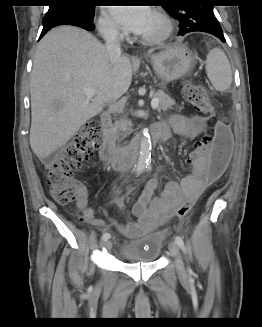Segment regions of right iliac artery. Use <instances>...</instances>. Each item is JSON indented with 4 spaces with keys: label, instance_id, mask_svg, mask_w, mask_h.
I'll return each instance as SVG.
<instances>
[{
    "label": "right iliac artery",
    "instance_id": "obj_1",
    "mask_svg": "<svg viewBox=\"0 0 262 327\" xmlns=\"http://www.w3.org/2000/svg\"><path fill=\"white\" fill-rule=\"evenodd\" d=\"M111 237V235H110V233H108V232H105V233H103V235H102V239L103 240H107V239H109Z\"/></svg>",
    "mask_w": 262,
    "mask_h": 327
}]
</instances>
